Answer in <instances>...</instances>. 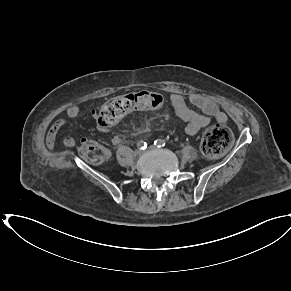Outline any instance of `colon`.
Returning a JSON list of instances; mask_svg holds the SVG:
<instances>
[{
    "label": "colon",
    "mask_w": 291,
    "mask_h": 291,
    "mask_svg": "<svg viewBox=\"0 0 291 291\" xmlns=\"http://www.w3.org/2000/svg\"><path fill=\"white\" fill-rule=\"evenodd\" d=\"M163 106V98L151 91H136L113 98L106 102L98 114V125L106 128L116 124L126 115L138 111L156 110ZM233 143L231 131L224 125L211 126L203 135L201 146L209 157L225 153ZM81 155L92 164H102L107 156L106 150L93 142H84Z\"/></svg>",
    "instance_id": "1"
}]
</instances>
